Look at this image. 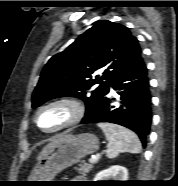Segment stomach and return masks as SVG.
Returning a JSON list of instances; mask_svg holds the SVG:
<instances>
[{"mask_svg":"<svg viewBox=\"0 0 178 186\" xmlns=\"http://www.w3.org/2000/svg\"><path fill=\"white\" fill-rule=\"evenodd\" d=\"M98 149L99 140L94 134L63 135L59 142L36 164L28 181H53L62 170L78 163L86 155Z\"/></svg>","mask_w":178,"mask_h":186,"instance_id":"obj_1","label":"stomach"}]
</instances>
